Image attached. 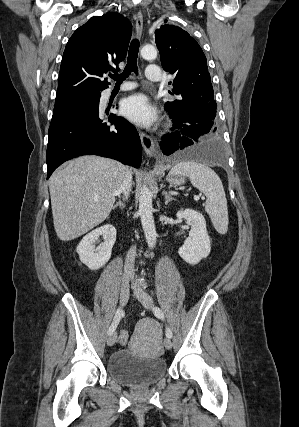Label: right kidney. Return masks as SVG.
<instances>
[{
  "label": "right kidney",
  "instance_id": "right-kidney-1",
  "mask_svg": "<svg viewBox=\"0 0 299 427\" xmlns=\"http://www.w3.org/2000/svg\"><path fill=\"white\" fill-rule=\"evenodd\" d=\"M103 237V242L95 248L94 243ZM116 241V229L111 224L103 225L83 237L77 246L80 261L91 270L103 267L110 259Z\"/></svg>",
  "mask_w": 299,
  "mask_h": 427
}]
</instances>
